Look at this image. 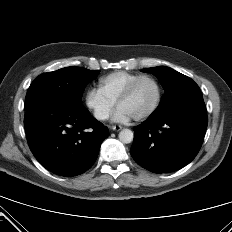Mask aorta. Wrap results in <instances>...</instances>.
Segmentation results:
<instances>
[{"label":"aorta","instance_id":"1","mask_svg":"<svg viewBox=\"0 0 232 232\" xmlns=\"http://www.w3.org/2000/svg\"><path fill=\"white\" fill-rule=\"evenodd\" d=\"M118 137L122 143L128 144L133 141V132L130 129H123L119 132Z\"/></svg>","mask_w":232,"mask_h":232}]
</instances>
